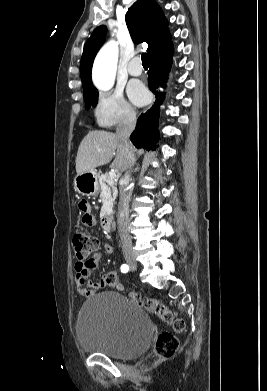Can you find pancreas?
<instances>
[{
  "label": "pancreas",
  "mask_w": 267,
  "mask_h": 391,
  "mask_svg": "<svg viewBox=\"0 0 267 391\" xmlns=\"http://www.w3.org/2000/svg\"><path fill=\"white\" fill-rule=\"evenodd\" d=\"M98 181L102 193L105 192L109 198L114 200L117 197V188L114 178H111L107 174H101L98 176Z\"/></svg>",
  "instance_id": "cf45deb5"
}]
</instances>
